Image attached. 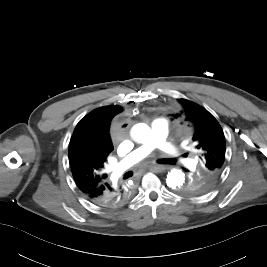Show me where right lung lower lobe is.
I'll use <instances>...</instances> for the list:
<instances>
[{"instance_id":"98d812e1","label":"right lung lower lobe","mask_w":267,"mask_h":267,"mask_svg":"<svg viewBox=\"0 0 267 267\" xmlns=\"http://www.w3.org/2000/svg\"><path fill=\"white\" fill-rule=\"evenodd\" d=\"M83 193L91 202L106 208L119 207L131 197L128 189L122 186H112L108 182Z\"/></svg>"}]
</instances>
